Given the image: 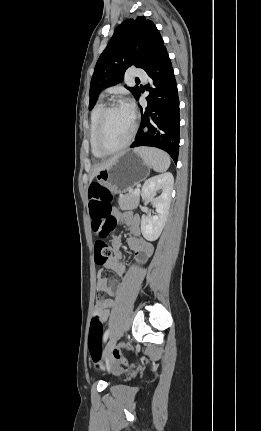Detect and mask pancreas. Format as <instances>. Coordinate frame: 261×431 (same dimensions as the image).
Returning a JSON list of instances; mask_svg holds the SVG:
<instances>
[{"label":"pancreas","mask_w":261,"mask_h":431,"mask_svg":"<svg viewBox=\"0 0 261 431\" xmlns=\"http://www.w3.org/2000/svg\"><path fill=\"white\" fill-rule=\"evenodd\" d=\"M118 204L122 210L135 209L139 204V193L135 194L134 191H130L127 194L120 195Z\"/></svg>","instance_id":"pancreas-1"}]
</instances>
